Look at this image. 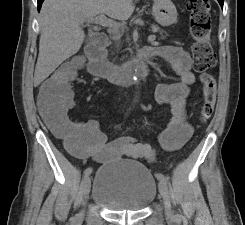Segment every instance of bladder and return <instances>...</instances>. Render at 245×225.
Returning <instances> with one entry per match:
<instances>
[{
	"instance_id": "31cf9c89",
	"label": "bladder",
	"mask_w": 245,
	"mask_h": 225,
	"mask_svg": "<svg viewBox=\"0 0 245 225\" xmlns=\"http://www.w3.org/2000/svg\"><path fill=\"white\" fill-rule=\"evenodd\" d=\"M156 194L157 180L152 172L133 159H121L97 170L91 198L111 212H139Z\"/></svg>"
}]
</instances>
